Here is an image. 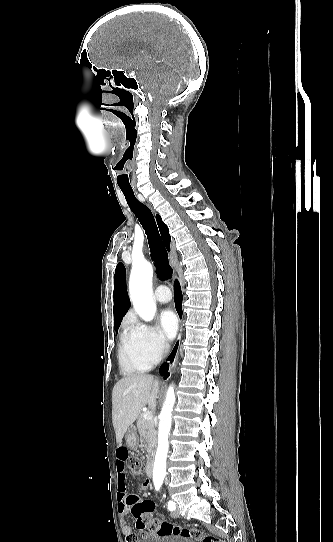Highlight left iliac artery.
<instances>
[{
    "instance_id": "left-iliac-artery-1",
    "label": "left iliac artery",
    "mask_w": 333,
    "mask_h": 542,
    "mask_svg": "<svg viewBox=\"0 0 333 542\" xmlns=\"http://www.w3.org/2000/svg\"><path fill=\"white\" fill-rule=\"evenodd\" d=\"M154 485H155V489L158 491L160 489L161 485H162V482H155ZM175 508H176L175 503L173 501H169L168 502V509L170 511H173V510H175Z\"/></svg>"
}]
</instances>
